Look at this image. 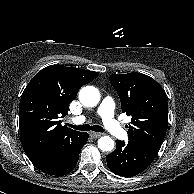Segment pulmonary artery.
<instances>
[{
  "mask_svg": "<svg viewBox=\"0 0 194 194\" xmlns=\"http://www.w3.org/2000/svg\"><path fill=\"white\" fill-rule=\"evenodd\" d=\"M115 103L111 97H105L99 108L98 115L101 117L103 125L111 135L116 138H125L126 131L121 124L114 118ZM86 120L84 116H79L74 119L75 123H83Z\"/></svg>",
  "mask_w": 194,
  "mask_h": 194,
  "instance_id": "pulmonary-artery-1",
  "label": "pulmonary artery"
}]
</instances>
